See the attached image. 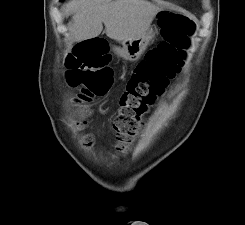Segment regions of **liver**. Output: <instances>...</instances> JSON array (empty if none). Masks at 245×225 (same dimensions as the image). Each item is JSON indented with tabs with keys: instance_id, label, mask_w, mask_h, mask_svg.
Returning <instances> with one entry per match:
<instances>
[{
	"instance_id": "6515ba94",
	"label": "liver",
	"mask_w": 245,
	"mask_h": 225,
	"mask_svg": "<svg viewBox=\"0 0 245 225\" xmlns=\"http://www.w3.org/2000/svg\"><path fill=\"white\" fill-rule=\"evenodd\" d=\"M66 7L74 10L69 29L71 43L97 37L103 24L107 36L118 42L140 37L160 11L147 0H74Z\"/></svg>"
}]
</instances>
